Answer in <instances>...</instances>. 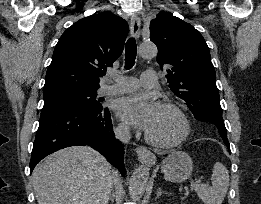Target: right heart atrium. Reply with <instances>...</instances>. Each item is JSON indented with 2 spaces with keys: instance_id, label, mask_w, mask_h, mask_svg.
I'll list each match as a JSON object with an SVG mask.
<instances>
[{
  "instance_id": "right-heart-atrium-1",
  "label": "right heart atrium",
  "mask_w": 261,
  "mask_h": 204,
  "mask_svg": "<svg viewBox=\"0 0 261 204\" xmlns=\"http://www.w3.org/2000/svg\"><path fill=\"white\" fill-rule=\"evenodd\" d=\"M116 133L120 137H127L130 133V130H129V127L125 123L120 122L116 127Z\"/></svg>"
}]
</instances>
